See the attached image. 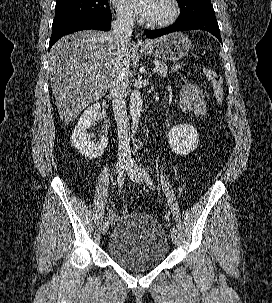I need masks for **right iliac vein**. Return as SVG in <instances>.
<instances>
[{
    "label": "right iliac vein",
    "mask_w": 272,
    "mask_h": 303,
    "mask_svg": "<svg viewBox=\"0 0 272 303\" xmlns=\"http://www.w3.org/2000/svg\"><path fill=\"white\" fill-rule=\"evenodd\" d=\"M126 164H127V161L125 160V158H123V157L118 158V161H117V164H116V173L118 175L123 174V171L126 167ZM108 228H109V223H104L103 227H102V233L106 234L107 231H108Z\"/></svg>",
    "instance_id": "right-iliac-vein-1"
}]
</instances>
